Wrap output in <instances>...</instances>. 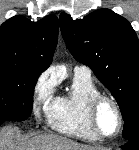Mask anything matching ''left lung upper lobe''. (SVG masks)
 <instances>
[{
	"label": "left lung upper lobe",
	"mask_w": 139,
	"mask_h": 150,
	"mask_svg": "<svg viewBox=\"0 0 139 150\" xmlns=\"http://www.w3.org/2000/svg\"><path fill=\"white\" fill-rule=\"evenodd\" d=\"M59 21L74 58L89 66L116 99L125 140L139 139V42L130 23L109 9L78 20L63 13Z\"/></svg>",
	"instance_id": "1"
}]
</instances>
